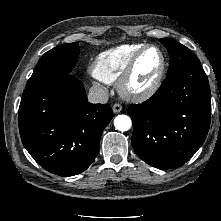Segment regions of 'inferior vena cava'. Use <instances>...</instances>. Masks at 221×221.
<instances>
[{
  "mask_svg": "<svg viewBox=\"0 0 221 221\" xmlns=\"http://www.w3.org/2000/svg\"><path fill=\"white\" fill-rule=\"evenodd\" d=\"M108 97V92L104 88L93 86L89 90L88 101L90 103H106Z\"/></svg>",
  "mask_w": 221,
  "mask_h": 221,
  "instance_id": "obj_1",
  "label": "inferior vena cava"
}]
</instances>
